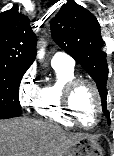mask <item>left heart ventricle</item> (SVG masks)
<instances>
[{"instance_id":"left-heart-ventricle-1","label":"left heart ventricle","mask_w":114,"mask_h":156,"mask_svg":"<svg viewBox=\"0 0 114 156\" xmlns=\"http://www.w3.org/2000/svg\"><path fill=\"white\" fill-rule=\"evenodd\" d=\"M73 107L82 123L86 126L93 124L96 116V99L90 87L80 86L73 96Z\"/></svg>"}]
</instances>
